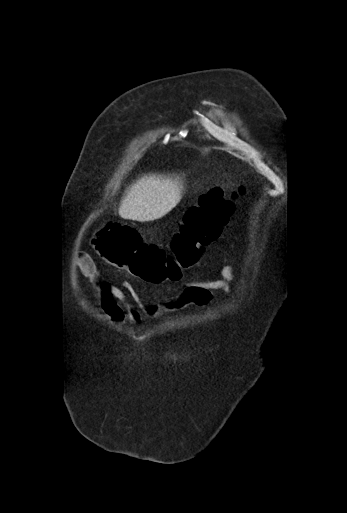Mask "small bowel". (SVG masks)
Instances as JSON below:
<instances>
[{"instance_id": "obj_1", "label": "small bowel", "mask_w": 347, "mask_h": 513, "mask_svg": "<svg viewBox=\"0 0 347 513\" xmlns=\"http://www.w3.org/2000/svg\"><path fill=\"white\" fill-rule=\"evenodd\" d=\"M76 266L79 273L95 286L103 314L114 322L120 323L127 319L133 324H139L145 318H156L166 311L186 306L207 307L213 302L214 291L225 293L232 291L231 281L235 275L232 266H223L219 269L217 278H201L184 283V289L180 295L163 305H142L139 295L130 282L124 281L122 284L126 292L106 282L87 255H79Z\"/></svg>"}]
</instances>
